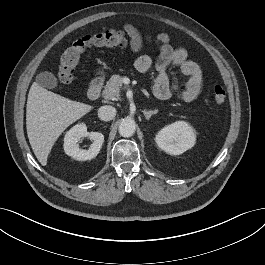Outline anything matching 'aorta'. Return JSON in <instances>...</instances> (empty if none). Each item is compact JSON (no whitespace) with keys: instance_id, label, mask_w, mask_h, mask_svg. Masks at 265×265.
Listing matches in <instances>:
<instances>
[{"instance_id":"aorta-1","label":"aorta","mask_w":265,"mask_h":265,"mask_svg":"<svg viewBox=\"0 0 265 265\" xmlns=\"http://www.w3.org/2000/svg\"><path fill=\"white\" fill-rule=\"evenodd\" d=\"M136 130V124L131 118H125L120 122L119 133L123 137H131Z\"/></svg>"}]
</instances>
